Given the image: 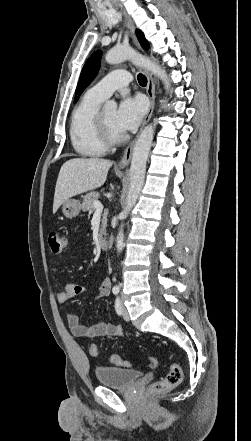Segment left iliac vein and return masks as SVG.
Returning <instances> with one entry per match:
<instances>
[{"mask_svg":"<svg viewBox=\"0 0 251 441\" xmlns=\"http://www.w3.org/2000/svg\"><path fill=\"white\" fill-rule=\"evenodd\" d=\"M121 310H122V316H123V318H124L126 321H128V320H129V314H128V311H127L126 307H125L123 304L121 305Z\"/></svg>","mask_w":251,"mask_h":441,"instance_id":"obj_1","label":"left iliac vein"}]
</instances>
